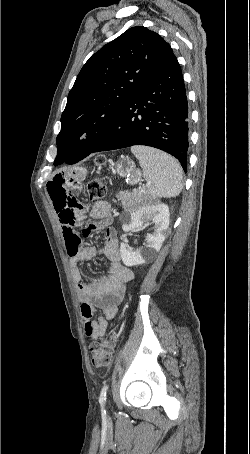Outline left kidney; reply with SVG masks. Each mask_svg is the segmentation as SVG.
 <instances>
[{
    "label": "left kidney",
    "mask_w": 250,
    "mask_h": 454,
    "mask_svg": "<svg viewBox=\"0 0 250 454\" xmlns=\"http://www.w3.org/2000/svg\"><path fill=\"white\" fill-rule=\"evenodd\" d=\"M169 216V207L162 203L144 204L131 213L129 222L122 226L124 232L145 228L150 223L154 224V232L147 235L145 246L135 251L121 243L120 254L126 266L141 265L146 262L147 258L153 257L161 249L165 240V233L169 227Z\"/></svg>",
    "instance_id": "obj_1"
}]
</instances>
